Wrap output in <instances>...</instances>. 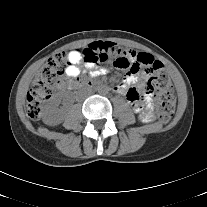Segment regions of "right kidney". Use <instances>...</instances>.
<instances>
[{
  "label": "right kidney",
  "instance_id": "ca27d5eb",
  "mask_svg": "<svg viewBox=\"0 0 207 207\" xmlns=\"http://www.w3.org/2000/svg\"><path fill=\"white\" fill-rule=\"evenodd\" d=\"M58 98L54 97L50 100L43 114V122L47 125H58L64 120V113L57 108Z\"/></svg>",
  "mask_w": 207,
  "mask_h": 207
}]
</instances>
